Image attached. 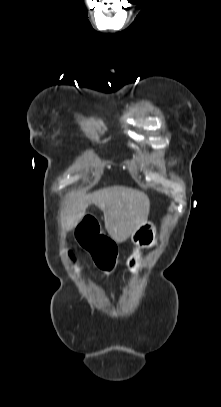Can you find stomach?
<instances>
[{"mask_svg":"<svg viewBox=\"0 0 221 407\" xmlns=\"http://www.w3.org/2000/svg\"><path fill=\"white\" fill-rule=\"evenodd\" d=\"M157 240V230L153 223L148 221L137 228V230L131 235V241L137 246L126 262V265L131 272L136 271L141 263L140 249L155 246Z\"/></svg>","mask_w":221,"mask_h":407,"instance_id":"1","label":"stomach"}]
</instances>
